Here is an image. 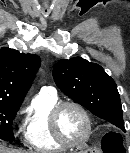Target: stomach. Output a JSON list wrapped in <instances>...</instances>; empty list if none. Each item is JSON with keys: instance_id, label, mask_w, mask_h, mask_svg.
<instances>
[{"instance_id": "obj_1", "label": "stomach", "mask_w": 130, "mask_h": 153, "mask_svg": "<svg viewBox=\"0 0 130 153\" xmlns=\"http://www.w3.org/2000/svg\"><path fill=\"white\" fill-rule=\"evenodd\" d=\"M74 153H88L87 150H79V151H76Z\"/></svg>"}]
</instances>
